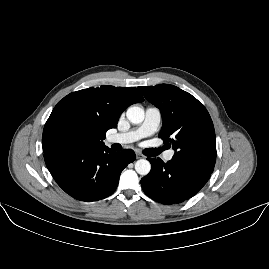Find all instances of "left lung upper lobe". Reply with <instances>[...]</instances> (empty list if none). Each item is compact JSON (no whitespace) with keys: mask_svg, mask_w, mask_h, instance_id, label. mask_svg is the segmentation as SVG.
<instances>
[{"mask_svg":"<svg viewBox=\"0 0 269 269\" xmlns=\"http://www.w3.org/2000/svg\"><path fill=\"white\" fill-rule=\"evenodd\" d=\"M138 89L161 111L163 125L159 137L175 150L172 159L213 172L216 161L215 131L202 103L170 84Z\"/></svg>","mask_w":269,"mask_h":269,"instance_id":"left-lung-upper-lobe-1","label":"left lung upper lobe"}]
</instances>
